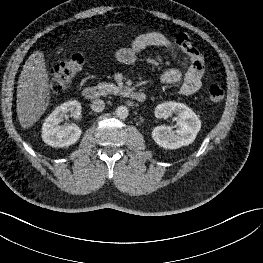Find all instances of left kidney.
Returning a JSON list of instances; mask_svg holds the SVG:
<instances>
[{
    "mask_svg": "<svg viewBox=\"0 0 263 263\" xmlns=\"http://www.w3.org/2000/svg\"><path fill=\"white\" fill-rule=\"evenodd\" d=\"M176 115L177 129L172 131L167 126H157L152 131L153 140L165 149H178L191 144L201 128V121L192 109L177 102H164L155 108L157 118L167 119Z\"/></svg>",
    "mask_w": 263,
    "mask_h": 263,
    "instance_id": "obj_1",
    "label": "left kidney"
}]
</instances>
